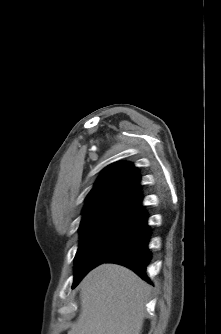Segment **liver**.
<instances>
[{
	"mask_svg": "<svg viewBox=\"0 0 221 334\" xmlns=\"http://www.w3.org/2000/svg\"><path fill=\"white\" fill-rule=\"evenodd\" d=\"M81 312L68 334H140L150 286L133 271L102 264L80 284Z\"/></svg>",
	"mask_w": 221,
	"mask_h": 334,
	"instance_id": "6515ba94",
	"label": "liver"
}]
</instances>
